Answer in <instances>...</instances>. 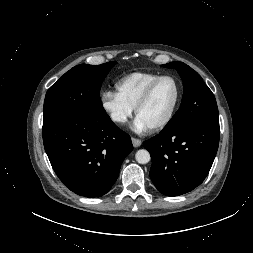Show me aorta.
<instances>
[{"mask_svg":"<svg viewBox=\"0 0 253 253\" xmlns=\"http://www.w3.org/2000/svg\"><path fill=\"white\" fill-rule=\"evenodd\" d=\"M135 159L139 164H146L150 161V153L146 149H140L135 154Z\"/></svg>","mask_w":253,"mask_h":253,"instance_id":"1","label":"aorta"}]
</instances>
